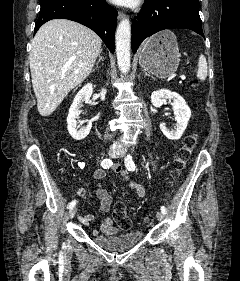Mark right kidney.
I'll list each match as a JSON object with an SVG mask.
<instances>
[{"label": "right kidney", "mask_w": 240, "mask_h": 281, "mask_svg": "<svg viewBox=\"0 0 240 281\" xmlns=\"http://www.w3.org/2000/svg\"><path fill=\"white\" fill-rule=\"evenodd\" d=\"M93 92V86L91 83L85 85L75 96L73 103L69 109V113L67 116V129L69 134L75 140L84 139L90 132L92 127V122L85 120L87 122L86 126L80 128L78 125L77 119H79V115L81 113L80 108L83 102H88Z\"/></svg>", "instance_id": "obj_1"}]
</instances>
